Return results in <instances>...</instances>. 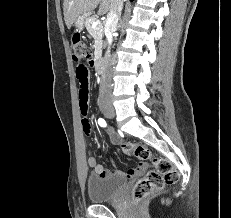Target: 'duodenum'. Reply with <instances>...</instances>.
Returning <instances> with one entry per match:
<instances>
[{"instance_id":"duodenum-1","label":"duodenum","mask_w":231,"mask_h":218,"mask_svg":"<svg viewBox=\"0 0 231 218\" xmlns=\"http://www.w3.org/2000/svg\"><path fill=\"white\" fill-rule=\"evenodd\" d=\"M93 62H94V63H93V66H94L95 70H96L98 73H100L102 67H101V58H100V55H99V54H97V55L95 56Z\"/></svg>"}]
</instances>
